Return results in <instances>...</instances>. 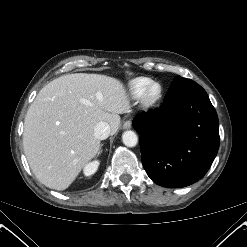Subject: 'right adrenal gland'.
Segmentation results:
<instances>
[{
    "label": "right adrenal gland",
    "instance_id": "right-adrenal-gland-1",
    "mask_svg": "<svg viewBox=\"0 0 247 247\" xmlns=\"http://www.w3.org/2000/svg\"><path fill=\"white\" fill-rule=\"evenodd\" d=\"M102 146H103V144L100 145V149H99V151H98L97 156H99V155L102 153Z\"/></svg>",
    "mask_w": 247,
    "mask_h": 247
}]
</instances>
